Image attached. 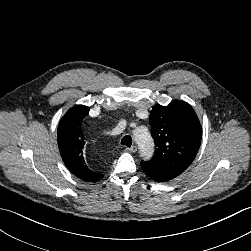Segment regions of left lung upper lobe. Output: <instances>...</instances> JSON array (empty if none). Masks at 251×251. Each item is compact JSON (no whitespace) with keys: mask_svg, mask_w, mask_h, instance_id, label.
Here are the masks:
<instances>
[{"mask_svg":"<svg viewBox=\"0 0 251 251\" xmlns=\"http://www.w3.org/2000/svg\"><path fill=\"white\" fill-rule=\"evenodd\" d=\"M156 152L143 163L156 169L181 174L199 150L202 128L193 108L174 100L168 106L155 105L149 116Z\"/></svg>","mask_w":251,"mask_h":251,"instance_id":"5c2ea615","label":"left lung upper lobe"}]
</instances>
